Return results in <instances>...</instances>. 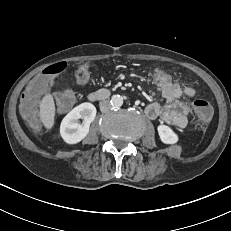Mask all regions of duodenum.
Here are the masks:
<instances>
[{
  "label": "duodenum",
  "mask_w": 231,
  "mask_h": 231,
  "mask_svg": "<svg viewBox=\"0 0 231 231\" xmlns=\"http://www.w3.org/2000/svg\"><path fill=\"white\" fill-rule=\"evenodd\" d=\"M111 92L108 89H99L97 91L91 92L88 99L92 102L102 101L109 98Z\"/></svg>",
  "instance_id": "duodenum-1"
}]
</instances>
